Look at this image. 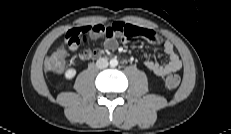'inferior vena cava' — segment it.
<instances>
[{"mask_svg": "<svg viewBox=\"0 0 231 134\" xmlns=\"http://www.w3.org/2000/svg\"><path fill=\"white\" fill-rule=\"evenodd\" d=\"M96 66L99 69H104L108 66V60L106 58H99L96 62Z\"/></svg>", "mask_w": 231, "mask_h": 134, "instance_id": "obj_1", "label": "inferior vena cava"}]
</instances>
